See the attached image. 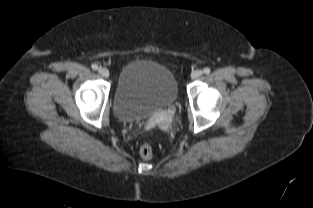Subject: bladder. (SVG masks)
I'll use <instances>...</instances> for the list:
<instances>
[{
    "label": "bladder",
    "mask_w": 313,
    "mask_h": 208,
    "mask_svg": "<svg viewBox=\"0 0 313 208\" xmlns=\"http://www.w3.org/2000/svg\"><path fill=\"white\" fill-rule=\"evenodd\" d=\"M178 97L174 74L153 61H132L118 75L114 110L122 121H139L171 105Z\"/></svg>",
    "instance_id": "bladder-1"
}]
</instances>
